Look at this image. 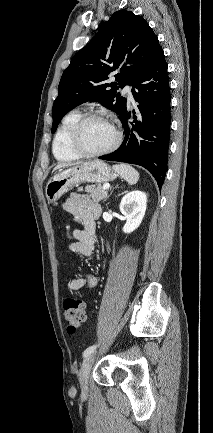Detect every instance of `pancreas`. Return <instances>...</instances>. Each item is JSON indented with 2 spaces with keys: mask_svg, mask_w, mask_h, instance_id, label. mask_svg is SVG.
Listing matches in <instances>:
<instances>
[{
  "mask_svg": "<svg viewBox=\"0 0 213 433\" xmlns=\"http://www.w3.org/2000/svg\"><path fill=\"white\" fill-rule=\"evenodd\" d=\"M78 191H82V188H78ZM85 192L89 193L90 197L96 202H99L107 197L105 189H103V187L100 185L97 187L94 185H87L85 187Z\"/></svg>",
  "mask_w": 213,
  "mask_h": 433,
  "instance_id": "cf45deb5",
  "label": "pancreas"
}]
</instances>
